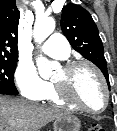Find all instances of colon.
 Here are the masks:
<instances>
[{
    "label": "colon",
    "instance_id": "1",
    "mask_svg": "<svg viewBox=\"0 0 117 131\" xmlns=\"http://www.w3.org/2000/svg\"><path fill=\"white\" fill-rule=\"evenodd\" d=\"M87 131H105L103 127L98 124L91 125Z\"/></svg>",
    "mask_w": 117,
    "mask_h": 131
}]
</instances>
